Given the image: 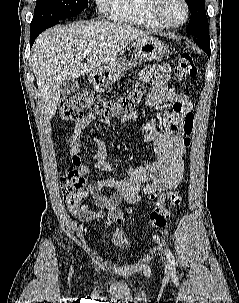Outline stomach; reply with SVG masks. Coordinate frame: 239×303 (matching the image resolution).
I'll return each mask as SVG.
<instances>
[{"mask_svg":"<svg viewBox=\"0 0 239 303\" xmlns=\"http://www.w3.org/2000/svg\"><path fill=\"white\" fill-rule=\"evenodd\" d=\"M166 53V45L149 35L138 38L134 43V55L143 61L159 60ZM128 65L125 57H117L114 61L93 70L89 75V82L94 86H107L121 79L125 75Z\"/></svg>","mask_w":239,"mask_h":303,"instance_id":"obj_1","label":"stomach"}]
</instances>
